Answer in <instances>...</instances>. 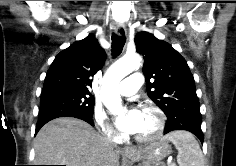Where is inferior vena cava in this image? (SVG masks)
Returning <instances> with one entry per match:
<instances>
[{
    "instance_id": "inferior-vena-cava-1",
    "label": "inferior vena cava",
    "mask_w": 236,
    "mask_h": 166,
    "mask_svg": "<svg viewBox=\"0 0 236 166\" xmlns=\"http://www.w3.org/2000/svg\"><path fill=\"white\" fill-rule=\"evenodd\" d=\"M105 138L107 139V142L111 147H115V144L111 141V138L109 137H105Z\"/></svg>"
}]
</instances>
